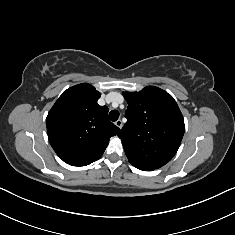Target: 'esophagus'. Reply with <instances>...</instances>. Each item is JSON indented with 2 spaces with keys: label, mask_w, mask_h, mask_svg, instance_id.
Here are the masks:
<instances>
[{
  "label": "esophagus",
  "mask_w": 235,
  "mask_h": 235,
  "mask_svg": "<svg viewBox=\"0 0 235 235\" xmlns=\"http://www.w3.org/2000/svg\"><path fill=\"white\" fill-rule=\"evenodd\" d=\"M115 125H116L119 129H121L122 126H123L122 121H121L120 119H118V120L115 122Z\"/></svg>",
  "instance_id": "obj_1"
}]
</instances>
